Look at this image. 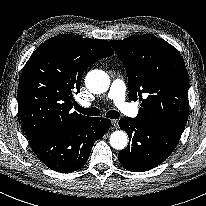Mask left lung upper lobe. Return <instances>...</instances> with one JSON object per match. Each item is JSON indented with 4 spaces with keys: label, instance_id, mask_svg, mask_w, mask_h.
I'll return each instance as SVG.
<instances>
[{
    "label": "left lung upper lobe",
    "instance_id": "5c2ea615",
    "mask_svg": "<svg viewBox=\"0 0 206 206\" xmlns=\"http://www.w3.org/2000/svg\"><path fill=\"white\" fill-rule=\"evenodd\" d=\"M110 44L125 66L129 99L142 101L135 119L182 133L189 113V80L179 51L152 35L131 36Z\"/></svg>",
    "mask_w": 206,
    "mask_h": 206
}]
</instances>
